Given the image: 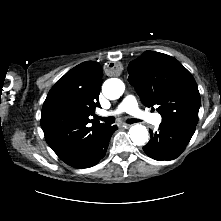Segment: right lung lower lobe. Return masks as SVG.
<instances>
[{"label": "right lung lower lobe", "instance_id": "obj_1", "mask_svg": "<svg viewBox=\"0 0 221 221\" xmlns=\"http://www.w3.org/2000/svg\"><path fill=\"white\" fill-rule=\"evenodd\" d=\"M116 130L117 126L105 125L63 161L75 168H88L96 165L105 156L110 138Z\"/></svg>", "mask_w": 221, "mask_h": 221}]
</instances>
